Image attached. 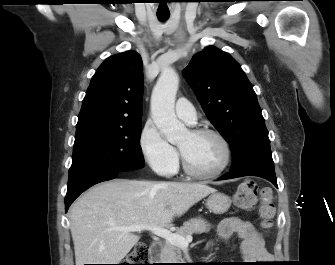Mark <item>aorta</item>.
<instances>
[{"label":"aorta","instance_id":"aorta-1","mask_svg":"<svg viewBox=\"0 0 335 265\" xmlns=\"http://www.w3.org/2000/svg\"><path fill=\"white\" fill-rule=\"evenodd\" d=\"M178 86L177 73L166 68L161 72L151 96L152 119L170 143L181 139L186 132V127L177 119L174 111Z\"/></svg>","mask_w":335,"mask_h":265}]
</instances>
